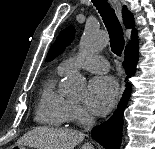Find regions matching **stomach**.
Masks as SVG:
<instances>
[{"label": "stomach", "mask_w": 155, "mask_h": 149, "mask_svg": "<svg viewBox=\"0 0 155 149\" xmlns=\"http://www.w3.org/2000/svg\"><path fill=\"white\" fill-rule=\"evenodd\" d=\"M18 149H27L26 147H25V145H21V146H16Z\"/></svg>", "instance_id": "obj_1"}]
</instances>
